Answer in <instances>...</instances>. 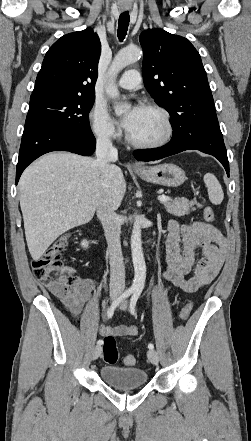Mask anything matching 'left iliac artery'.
Masks as SVG:
<instances>
[{
    "label": "left iliac artery",
    "instance_id": "left-iliac-artery-1",
    "mask_svg": "<svg viewBox=\"0 0 251 441\" xmlns=\"http://www.w3.org/2000/svg\"><path fill=\"white\" fill-rule=\"evenodd\" d=\"M141 292H142L141 289H136V290L134 291L133 296L131 297V300H130L129 311H130V313H131L132 315H134V316H137V314H136V310H135V307H136V303H137V300H138V298H139ZM148 348H149V349H154V345H153L152 343H149V344H148Z\"/></svg>",
    "mask_w": 251,
    "mask_h": 441
}]
</instances>
